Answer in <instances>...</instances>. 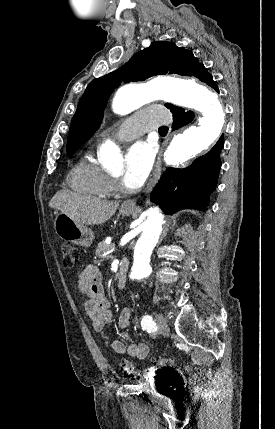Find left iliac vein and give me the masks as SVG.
I'll use <instances>...</instances> for the list:
<instances>
[{
	"label": "left iliac vein",
	"instance_id": "1",
	"mask_svg": "<svg viewBox=\"0 0 275 429\" xmlns=\"http://www.w3.org/2000/svg\"><path fill=\"white\" fill-rule=\"evenodd\" d=\"M155 321H156V326H157L159 333H161L163 335H168L169 334V327H168V324H167L165 318L162 315L157 314L155 317Z\"/></svg>",
	"mask_w": 275,
	"mask_h": 429
}]
</instances>
